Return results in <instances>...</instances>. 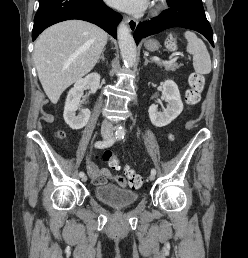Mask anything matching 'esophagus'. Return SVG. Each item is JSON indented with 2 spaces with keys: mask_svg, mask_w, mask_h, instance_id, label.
Returning <instances> with one entry per match:
<instances>
[{
  "mask_svg": "<svg viewBox=\"0 0 248 258\" xmlns=\"http://www.w3.org/2000/svg\"><path fill=\"white\" fill-rule=\"evenodd\" d=\"M125 21L130 29V31H134L138 25V22L135 19L125 17Z\"/></svg>",
  "mask_w": 248,
  "mask_h": 258,
  "instance_id": "obj_1",
  "label": "esophagus"
}]
</instances>
